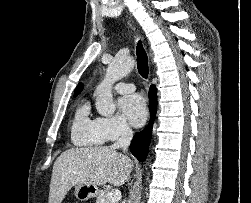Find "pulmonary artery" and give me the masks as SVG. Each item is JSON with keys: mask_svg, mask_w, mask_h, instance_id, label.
<instances>
[{"mask_svg": "<svg viewBox=\"0 0 251 203\" xmlns=\"http://www.w3.org/2000/svg\"><path fill=\"white\" fill-rule=\"evenodd\" d=\"M114 89L119 93H129L135 90L134 84L118 82L115 84Z\"/></svg>", "mask_w": 251, "mask_h": 203, "instance_id": "e3ab8cb5", "label": "pulmonary artery"}]
</instances>
